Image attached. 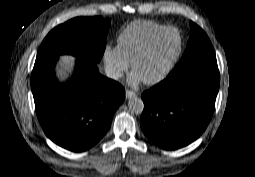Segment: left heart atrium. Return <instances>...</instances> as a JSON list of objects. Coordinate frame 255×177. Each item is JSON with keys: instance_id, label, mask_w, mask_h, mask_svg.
Masks as SVG:
<instances>
[{"instance_id": "1", "label": "left heart atrium", "mask_w": 255, "mask_h": 177, "mask_svg": "<svg viewBox=\"0 0 255 177\" xmlns=\"http://www.w3.org/2000/svg\"><path fill=\"white\" fill-rule=\"evenodd\" d=\"M127 81L129 85H131L132 87H136L143 81V79L135 71H133L129 75Z\"/></svg>"}]
</instances>
